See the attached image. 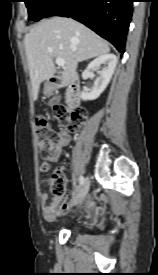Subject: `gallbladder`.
I'll use <instances>...</instances> for the list:
<instances>
[{
	"mask_svg": "<svg viewBox=\"0 0 158 275\" xmlns=\"http://www.w3.org/2000/svg\"><path fill=\"white\" fill-rule=\"evenodd\" d=\"M61 100V97L60 95H55L54 97H52L49 102H48V105L52 106V105H55L57 103H59Z\"/></svg>",
	"mask_w": 158,
	"mask_h": 275,
	"instance_id": "bac80fb5",
	"label": "gallbladder"
}]
</instances>
